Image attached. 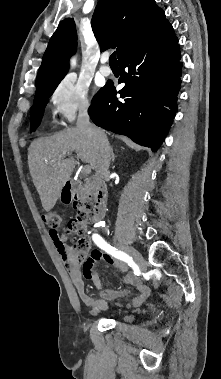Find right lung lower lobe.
<instances>
[{
	"label": "right lung lower lobe",
	"mask_w": 221,
	"mask_h": 379,
	"mask_svg": "<svg viewBox=\"0 0 221 379\" xmlns=\"http://www.w3.org/2000/svg\"><path fill=\"white\" fill-rule=\"evenodd\" d=\"M180 59L178 39L167 21L118 58L119 83L126 85L117 92L113 83L106 84L99 91L88 110L92 121L157 151L177 112Z\"/></svg>",
	"instance_id": "1"
}]
</instances>
